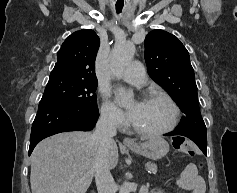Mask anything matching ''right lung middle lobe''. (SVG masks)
I'll return each instance as SVG.
<instances>
[{
	"instance_id": "right-lung-middle-lobe-1",
	"label": "right lung middle lobe",
	"mask_w": 237,
	"mask_h": 193,
	"mask_svg": "<svg viewBox=\"0 0 237 193\" xmlns=\"http://www.w3.org/2000/svg\"><path fill=\"white\" fill-rule=\"evenodd\" d=\"M97 80L50 75L40 103L61 104L85 112H98Z\"/></svg>"
}]
</instances>
